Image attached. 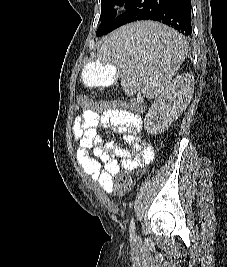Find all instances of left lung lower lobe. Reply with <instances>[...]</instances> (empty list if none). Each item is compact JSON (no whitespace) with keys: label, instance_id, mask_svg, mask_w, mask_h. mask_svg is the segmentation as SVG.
Masks as SVG:
<instances>
[{"label":"left lung lower lobe","instance_id":"0a47b994","mask_svg":"<svg viewBox=\"0 0 227 267\" xmlns=\"http://www.w3.org/2000/svg\"><path fill=\"white\" fill-rule=\"evenodd\" d=\"M126 11L115 17L97 30V35H105L125 24L139 20H153L162 22L185 36L192 34L191 0H129L125 5ZM148 47L173 46L171 41L144 37Z\"/></svg>","mask_w":227,"mask_h":267}]
</instances>
